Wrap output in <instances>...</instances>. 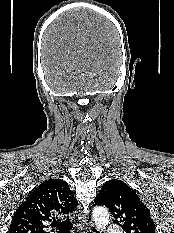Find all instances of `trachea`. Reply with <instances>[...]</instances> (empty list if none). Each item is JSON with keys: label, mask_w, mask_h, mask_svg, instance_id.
<instances>
[{"label": "trachea", "mask_w": 174, "mask_h": 233, "mask_svg": "<svg viewBox=\"0 0 174 233\" xmlns=\"http://www.w3.org/2000/svg\"><path fill=\"white\" fill-rule=\"evenodd\" d=\"M51 226L55 227L56 229H58V233H70V231H71V229L73 227V223L70 222V219L68 218L67 220H65L63 222L54 221L51 224ZM92 231L94 233H99L95 229H92ZM88 233H92V232H88Z\"/></svg>", "instance_id": "1"}]
</instances>
